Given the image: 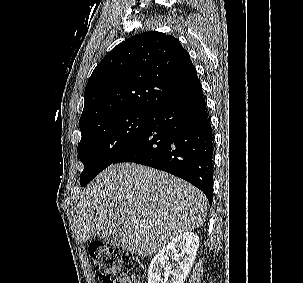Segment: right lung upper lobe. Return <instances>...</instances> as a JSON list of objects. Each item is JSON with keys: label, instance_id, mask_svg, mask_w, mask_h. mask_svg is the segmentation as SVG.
I'll return each mask as SVG.
<instances>
[{"label": "right lung upper lobe", "instance_id": "obj_1", "mask_svg": "<svg viewBox=\"0 0 303 283\" xmlns=\"http://www.w3.org/2000/svg\"><path fill=\"white\" fill-rule=\"evenodd\" d=\"M199 84L188 52L173 36L150 31L111 50L94 69L85 88L79 126L127 111L155 112Z\"/></svg>", "mask_w": 303, "mask_h": 283}]
</instances>
